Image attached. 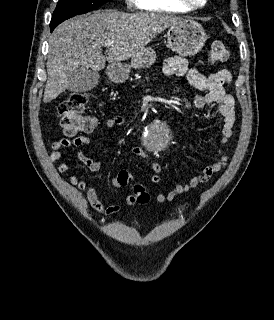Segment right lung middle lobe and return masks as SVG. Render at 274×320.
Segmentation results:
<instances>
[{
  "mask_svg": "<svg viewBox=\"0 0 274 320\" xmlns=\"http://www.w3.org/2000/svg\"><path fill=\"white\" fill-rule=\"evenodd\" d=\"M112 0H59L50 26H57L73 16L90 12Z\"/></svg>",
  "mask_w": 274,
  "mask_h": 320,
  "instance_id": "right-lung-middle-lobe-1",
  "label": "right lung middle lobe"
}]
</instances>
